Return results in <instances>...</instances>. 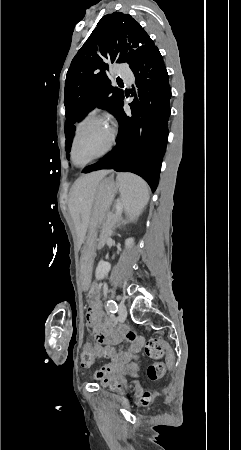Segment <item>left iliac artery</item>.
I'll list each match as a JSON object with an SVG mask.
<instances>
[{
	"mask_svg": "<svg viewBox=\"0 0 241 450\" xmlns=\"http://www.w3.org/2000/svg\"><path fill=\"white\" fill-rule=\"evenodd\" d=\"M107 307L111 313H116L118 310V306H117L116 302L112 299H109L107 301Z\"/></svg>",
	"mask_w": 241,
	"mask_h": 450,
	"instance_id": "44dca946",
	"label": "left iliac artery"
}]
</instances>
